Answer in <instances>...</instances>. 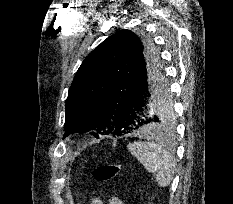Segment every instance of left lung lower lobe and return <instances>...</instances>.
<instances>
[{"instance_id": "left-lung-lower-lobe-1", "label": "left lung lower lobe", "mask_w": 233, "mask_h": 204, "mask_svg": "<svg viewBox=\"0 0 233 204\" xmlns=\"http://www.w3.org/2000/svg\"><path fill=\"white\" fill-rule=\"evenodd\" d=\"M143 60H140L116 113V122L125 131L122 135L136 131L160 132L154 111L168 86L159 58Z\"/></svg>"}]
</instances>
